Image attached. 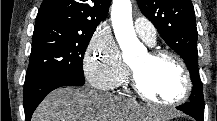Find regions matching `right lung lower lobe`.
I'll list each match as a JSON object with an SVG mask.
<instances>
[{
    "label": "right lung lower lobe",
    "instance_id": "right-lung-lower-lobe-1",
    "mask_svg": "<svg viewBox=\"0 0 217 121\" xmlns=\"http://www.w3.org/2000/svg\"><path fill=\"white\" fill-rule=\"evenodd\" d=\"M82 85H84V81H79L64 73H48L25 82L23 107L26 121H30L36 107L52 90L62 86Z\"/></svg>",
    "mask_w": 217,
    "mask_h": 121
}]
</instances>
